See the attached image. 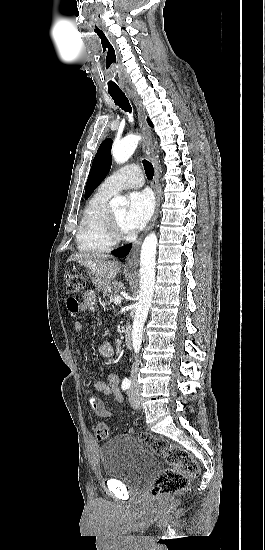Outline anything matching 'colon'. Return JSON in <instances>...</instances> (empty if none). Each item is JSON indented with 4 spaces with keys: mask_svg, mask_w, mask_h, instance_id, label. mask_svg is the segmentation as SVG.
<instances>
[{
    "mask_svg": "<svg viewBox=\"0 0 265 550\" xmlns=\"http://www.w3.org/2000/svg\"><path fill=\"white\" fill-rule=\"evenodd\" d=\"M64 283L66 292L73 296L83 293L86 287L85 278L73 272L65 273ZM68 307L73 311V314H76L80 312L82 302L74 299V301L68 303ZM108 436V425L105 422H99L96 425L97 439L103 441ZM138 437L142 444L149 447L170 466L167 469L161 470L156 476L151 490L154 498H163L177 492L185 488L191 479L198 476L199 465L184 448L148 432H140Z\"/></svg>",
    "mask_w": 265,
    "mask_h": 550,
    "instance_id": "5ec220e1",
    "label": "colon"
}]
</instances>
